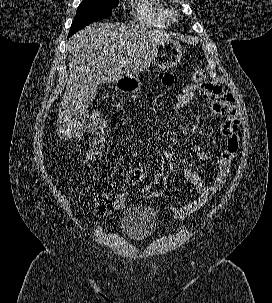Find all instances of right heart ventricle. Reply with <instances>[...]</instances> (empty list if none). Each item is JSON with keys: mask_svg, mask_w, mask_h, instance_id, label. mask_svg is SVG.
I'll use <instances>...</instances> for the list:
<instances>
[{"mask_svg": "<svg viewBox=\"0 0 272 303\" xmlns=\"http://www.w3.org/2000/svg\"><path fill=\"white\" fill-rule=\"evenodd\" d=\"M135 17L139 23L150 27L165 28L169 23L167 11L154 0H139Z\"/></svg>", "mask_w": 272, "mask_h": 303, "instance_id": "1", "label": "right heart ventricle"}]
</instances>
